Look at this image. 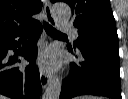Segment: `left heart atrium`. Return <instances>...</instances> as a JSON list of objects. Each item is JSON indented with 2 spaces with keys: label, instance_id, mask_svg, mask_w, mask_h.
I'll list each match as a JSON object with an SVG mask.
<instances>
[{
  "label": "left heart atrium",
  "instance_id": "obj_1",
  "mask_svg": "<svg viewBox=\"0 0 128 99\" xmlns=\"http://www.w3.org/2000/svg\"><path fill=\"white\" fill-rule=\"evenodd\" d=\"M37 62L40 68L47 72H52L57 67L56 56L54 51L51 49L44 50L40 54Z\"/></svg>",
  "mask_w": 128,
  "mask_h": 99
}]
</instances>
